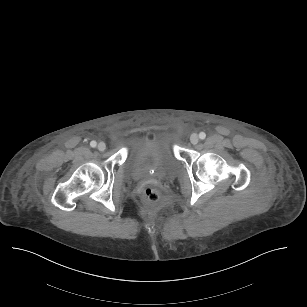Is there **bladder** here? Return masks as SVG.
Returning a JSON list of instances; mask_svg holds the SVG:
<instances>
[{"instance_id": "obj_1", "label": "bladder", "mask_w": 307, "mask_h": 307, "mask_svg": "<svg viewBox=\"0 0 307 307\" xmlns=\"http://www.w3.org/2000/svg\"><path fill=\"white\" fill-rule=\"evenodd\" d=\"M178 163L171 145L152 137L128 148L124 166L133 179L142 180L151 172L160 177L169 176L177 170Z\"/></svg>"}]
</instances>
